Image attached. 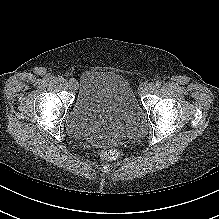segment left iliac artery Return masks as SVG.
<instances>
[{
  "mask_svg": "<svg viewBox=\"0 0 219 219\" xmlns=\"http://www.w3.org/2000/svg\"><path fill=\"white\" fill-rule=\"evenodd\" d=\"M155 88H159L161 87V82L160 81H156V83L154 84Z\"/></svg>",
  "mask_w": 219,
  "mask_h": 219,
  "instance_id": "left-iliac-artery-1",
  "label": "left iliac artery"
}]
</instances>
